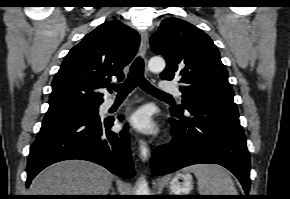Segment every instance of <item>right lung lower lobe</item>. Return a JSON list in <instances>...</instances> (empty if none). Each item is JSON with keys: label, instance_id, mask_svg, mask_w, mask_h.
<instances>
[{"label": "right lung lower lobe", "instance_id": "98d812e1", "mask_svg": "<svg viewBox=\"0 0 290 199\" xmlns=\"http://www.w3.org/2000/svg\"><path fill=\"white\" fill-rule=\"evenodd\" d=\"M113 121L89 117L43 122L28 155L26 186L47 166L67 159L92 161L113 174L132 178L129 134L127 130L110 131Z\"/></svg>", "mask_w": 290, "mask_h": 199}]
</instances>
